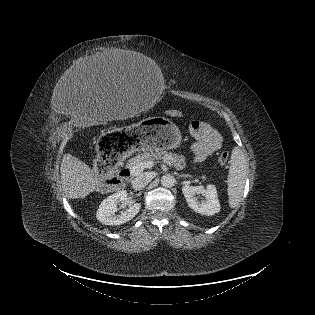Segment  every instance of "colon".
<instances>
[{"instance_id": "colon-1", "label": "colon", "mask_w": 315, "mask_h": 315, "mask_svg": "<svg viewBox=\"0 0 315 315\" xmlns=\"http://www.w3.org/2000/svg\"><path fill=\"white\" fill-rule=\"evenodd\" d=\"M169 115L173 117H179L181 116V112L178 110H172L169 112ZM228 159H229V153L227 151H224L219 155L218 162L221 165H225L228 162ZM116 163H117V159L114 161H107L103 159L101 155L98 156L95 163V169L104 185H111L115 183L114 172H115Z\"/></svg>"}]
</instances>
